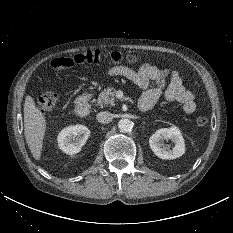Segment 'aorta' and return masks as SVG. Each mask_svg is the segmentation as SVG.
I'll list each match as a JSON object with an SVG mask.
<instances>
[{"label":"aorta","instance_id":"aorta-1","mask_svg":"<svg viewBox=\"0 0 233 233\" xmlns=\"http://www.w3.org/2000/svg\"><path fill=\"white\" fill-rule=\"evenodd\" d=\"M133 128V123L129 119H121L118 122V129L120 132L127 133L130 132Z\"/></svg>","mask_w":233,"mask_h":233}]
</instances>
